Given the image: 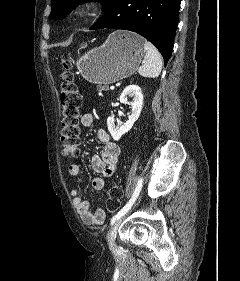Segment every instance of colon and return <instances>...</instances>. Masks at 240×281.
I'll return each instance as SVG.
<instances>
[{"instance_id": "colon-1", "label": "colon", "mask_w": 240, "mask_h": 281, "mask_svg": "<svg viewBox=\"0 0 240 281\" xmlns=\"http://www.w3.org/2000/svg\"><path fill=\"white\" fill-rule=\"evenodd\" d=\"M60 101L62 106V153L65 157L74 158L79 155L80 142V109L82 96L74 82L72 63L69 59L62 62ZM122 189L118 183H113L109 189L106 202L107 210L114 213L120 207Z\"/></svg>"}]
</instances>
